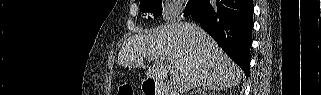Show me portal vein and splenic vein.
<instances>
[{
	"label": "portal vein and splenic vein",
	"mask_w": 321,
	"mask_h": 95,
	"mask_svg": "<svg viewBox=\"0 0 321 95\" xmlns=\"http://www.w3.org/2000/svg\"><path fill=\"white\" fill-rule=\"evenodd\" d=\"M169 72L171 74V82H172V84H176V74L174 73V71L171 68V66H169Z\"/></svg>",
	"instance_id": "18ae733b"
}]
</instances>
